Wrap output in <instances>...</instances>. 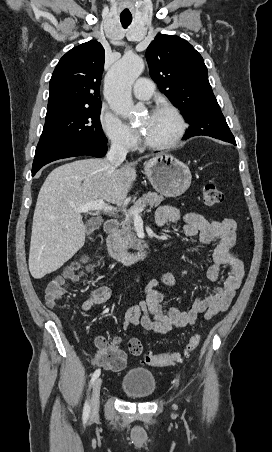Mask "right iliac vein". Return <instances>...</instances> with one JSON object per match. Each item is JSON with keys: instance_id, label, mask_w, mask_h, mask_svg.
I'll use <instances>...</instances> for the list:
<instances>
[{"instance_id": "right-iliac-vein-1", "label": "right iliac vein", "mask_w": 272, "mask_h": 452, "mask_svg": "<svg viewBox=\"0 0 272 452\" xmlns=\"http://www.w3.org/2000/svg\"><path fill=\"white\" fill-rule=\"evenodd\" d=\"M102 385V379L97 378L94 382L93 389H92V395H91V414L95 415L97 414L99 410V403H100V390Z\"/></svg>"}]
</instances>
